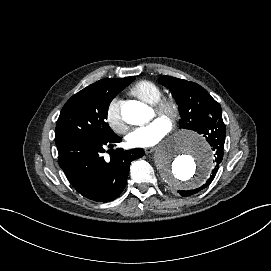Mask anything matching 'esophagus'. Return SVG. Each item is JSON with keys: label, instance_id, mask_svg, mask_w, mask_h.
I'll return each instance as SVG.
<instances>
[{"label": "esophagus", "instance_id": "1", "mask_svg": "<svg viewBox=\"0 0 271 271\" xmlns=\"http://www.w3.org/2000/svg\"><path fill=\"white\" fill-rule=\"evenodd\" d=\"M146 154H150L156 150L155 147H147L144 149Z\"/></svg>", "mask_w": 271, "mask_h": 271}]
</instances>
